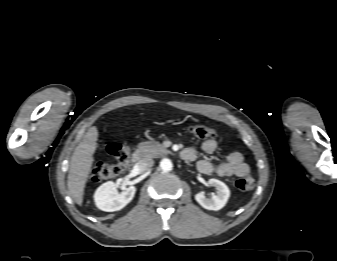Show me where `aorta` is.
I'll use <instances>...</instances> for the list:
<instances>
[{
	"mask_svg": "<svg viewBox=\"0 0 337 261\" xmlns=\"http://www.w3.org/2000/svg\"><path fill=\"white\" fill-rule=\"evenodd\" d=\"M160 167H161L162 171L169 172V171L172 170L173 164H172L170 159L164 158L160 162Z\"/></svg>",
	"mask_w": 337,
	"mask_h": 261,
	"instance_id": "762f6f07",
	"label": "aorta"
}]
</instances>
